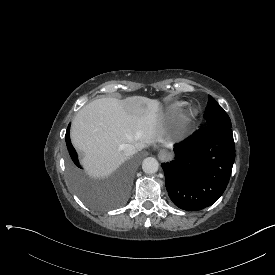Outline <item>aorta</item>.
Listing matches in <instances>:
<instances>
[{"mask_svg":"<svg viewBox=\"0 0 275 275\" xmlns=\"http://www.w3.org/2000/svg\"><path fill=\"white\" fill-rule=\"evenodd\" d=\"M158 161L153 157H147L143 160L142 168L143 171L147 174H153L158 171Z\"/></svg>","mask_w":275,"mask_h":275,"instance_id":"762f6f07","label":"aorta"}]
</instances>
